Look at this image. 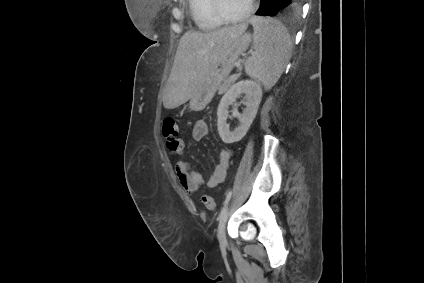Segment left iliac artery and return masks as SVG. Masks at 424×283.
<instances>
[{"label": "left iliac artery", "mask_w": 424, "mask_h": 283, "mask_svg": "<svg viewBox=\"0 0 424 283\" xmlns=\"http://www.w3.org/2000/svg\"><path fill=\"white\" fill-rule=\"evenodd\" d=\"M231 195H232V191L230 190V191L227 193L226 199H225V201H224V205H226V204L229 202V200H230V198H231Z\"/></svg>", "instance_id": "44dca946"}]
</instances>
